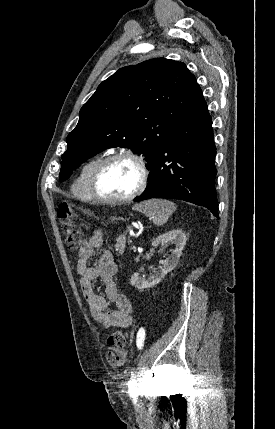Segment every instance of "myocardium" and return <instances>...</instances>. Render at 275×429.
<instances>
[{"label": "myocardium", "mask_w": 275, "mask_h": 429, "mask_svg": "<svg viewBox=\"0 0 275 429\" xmlns=\"http://www.w3.org/2000/svg\"><path fill=\"white\" fill-rule=\"evenodd\" d=\"M129 160L133 162L139 170V182L137 187L129 195L120 197V198H110L103 196L98 187L99 179L103 171L110 165L112 162L117 160ZM148 181V169L144 160L137 154L129 151L118 152L106 156L103 158L97 166L94 168L90 180H89V190L93 200L103 203V204H123L132 201L138 197L146 188Z\"/></svg>", "instance_id": "myocardium-1"}]
</instances>
